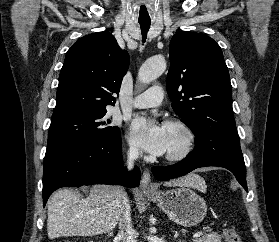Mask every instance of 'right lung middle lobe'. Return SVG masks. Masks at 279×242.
Segmentation results:
<instances>
[{
	"label": "right lung middle lobe",
	"mask_w": 279,
	"mask_h": 242,
	"mask_svg": "<svg viewBox=\"0 0 279 242\" xmlns=\"http://www.w3.org/2000/svg\"><path fill=\"white\" fill-rule=\"evenodd\" d=\"M107 110L78 109L52 115L46 155L61 149L89 143H101L121 135L110 120Z\"/></svg>",
	"instance_id": "1"
}]
</instances>
